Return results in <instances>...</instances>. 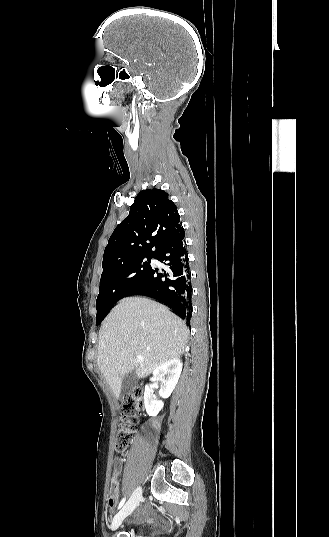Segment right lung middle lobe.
I'll use <instances>...</instances> for the list:
<instances>
[{"label": "right lung middle lobe", "mask_w": 329, "mask_h": 537, "mask_svg": "<svg viewBox=\"0 0 329 537\" xmlns=\"http://www.w3.org/2000/svg\"><path fill=\"white\" fill-rule=\"evenodd\" d=\"M152 257L134 259L125 264L103 268L100 292L96 301V324L99 325L109 309L142 278L150 267Z\"/></svg>", "instance_id": "obj_1"}]
</instances>
